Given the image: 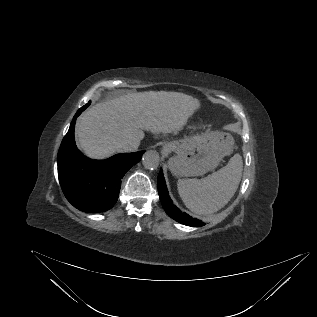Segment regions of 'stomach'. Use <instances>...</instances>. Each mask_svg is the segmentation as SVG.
Wrapping results in <instances>:
<instances>
[{
	"label": "stomach",
	"mask_w": 317,
	"mask_h": 317,
	"mask_svg": "<svg viewBox=\"0 0 317 317\" xmlns=\"http://www.w3.org/2000/svg\"><path fill=\"white\" fill-rule=\"evenodd\" d=\"M233 144L234 139L230 134L215 131L167 142L163 148L176 153L169 159L173 175L194 177L216 168L222 158L230 153Z\"/></svg>",
	"instance_id": "obj_1"
}]
</instances>
